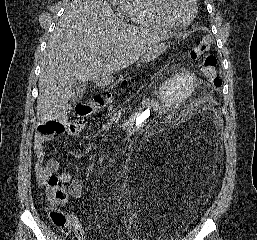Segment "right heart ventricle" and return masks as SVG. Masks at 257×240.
Returning <instances> with one entry per match:
<instances>
[{"label":"right heart ventricle","instance_id":"right-heart-ventricle-1","mask_svg":"<svg viewBox=\"0 0 257 240\" xmlns=\"http://www.w3.org/2000/svg\"><path fill=\"white\" fill-rule=\"evenodd\" d=\"M121 14L133 23L156 31L171 29L158 15L155 0H120Z\"/></svg>","mask_w":257,"mask_h":240}]
</instances>
